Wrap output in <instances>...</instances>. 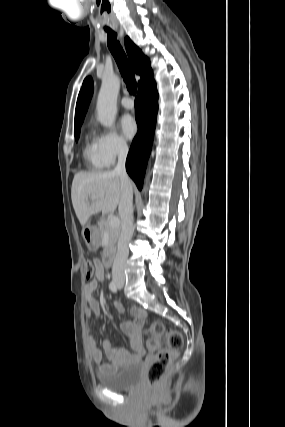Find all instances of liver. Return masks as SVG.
Returning <instances> with one entry per match:
<instances>
[{
	"instance_id": "1",
	"label": "liver",
	"mask_w": 285,
	"mask_h": 427,
	"mask_svg": "<svg viewBox=\"0 0 285 427\" xmlns=\"http://www.w3.org/2000/svg\"><path fill=\"white\" fill-rule=\"evenodd\" d=\"M121 194L120 176L113 171L76 173L71 187V199L80 224L84 227L89 218L100 211H115ZM92 196L97 199L89 203L88 199Z\"/></svg>"
}]
</instances>
